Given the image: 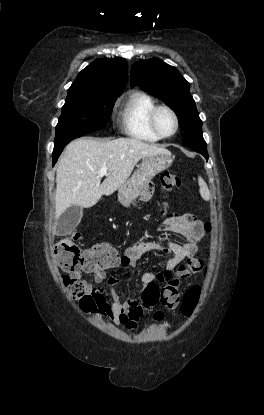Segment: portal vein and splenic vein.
I'll list each match as a JSON object with an SVG mask.
<instances>
[{
  "label": "portal vein and splenic vein",
  "instance_id": "portal-vein-and-splenic-vein-1",
  "mask_svg": "<svg viewBox=\"0 0 264 415\" xmlns=\"http://www.w3.org/2000/svg\"><path fill=\"white\" fill-rule=\"evenodd\" d=\"M98 175H99V176L108 175V169H107L106 167L101 168V169L98 171Z\"/></svg>",
  "mask_w": 264,
  "mask_h": 415
}]
</instances>
